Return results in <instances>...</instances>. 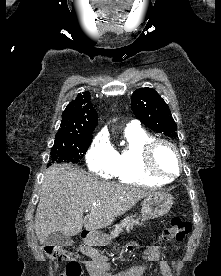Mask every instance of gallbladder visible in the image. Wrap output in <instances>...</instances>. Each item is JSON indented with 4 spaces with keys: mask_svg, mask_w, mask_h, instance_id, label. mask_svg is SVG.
I'll list each match as a JSON object with an SVG mask.
<instances>
[{
    "mask_svg": "<svg viewBox=\"0 0 221 276\" xmlns=\"http://www.w3.org/2000/svg\"><path fill=\"white\" fill-rule=\"evenodd\" d=\"M45 245L55 246V247H63V246H71L73 240L70 236L64 235L61 232H54L48 235L45 240Z\"/></svg>",
    "mask_w": 221,
    "mask_h": 276,
    "instance_id": "obj_1",
    "label": "gallbladder"
}]
</instances>
